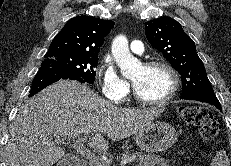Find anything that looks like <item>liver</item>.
<instances>
[{"label":"liver","mask_w":231,"mask_h":166,"mask_svg":"<svg viewBox=\"0 0 231 166\" xmlns=\"http://www.w3.org/2000/svg\"><path fill=\"white\" fill-rule=\"evenodd\" d=\"M163 107L119 108L87 85L60 80L29 99L10 126L7 166H52L65 156L58 139L91 135L88 145L107 151L119 141L151 124Z\"/></svg>","instance_id":"obj_1"}]
</instances>
